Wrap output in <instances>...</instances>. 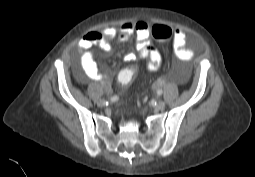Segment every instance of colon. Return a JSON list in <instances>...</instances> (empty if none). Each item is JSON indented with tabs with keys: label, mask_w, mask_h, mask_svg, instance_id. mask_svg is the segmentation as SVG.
I'll list each match as a JSON object with an SVG mask.
<instances>
[{
	"label": "colon",
	"mask_w": 255,
	"mask_h": 177,
	"mask_svg": "<svg viewBox=\"0 0 255 177\" xmlns=\"http://www.w3.org/2000/svg\"><path fill=\"white\" fill-rule=\"evenodd\" d=\"M151 33L152 36L159 41H166L170 39L173 34L170 27L159 24H156L152 27ZM136 71V67H127L123 69L118 75V80L120 84L123 86H127L133 79Z\"/></svg>",
	"instance_id": "5ec220e1"
}]
</instances>
